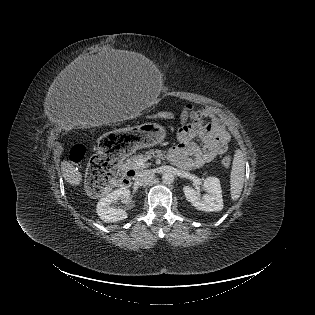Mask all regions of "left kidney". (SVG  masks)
<instances>
[{"label": "left kidney", "instance_id": "obj_1", "mask_svg": "<svg viewBox=\"0 0 315 315\" xmlns=\"http://www.w3.org/2000/svg\"><path fill=\"white\" fill-rule=\"evenodd\" d=\"M204 190L208 193L203 197L189 186L183 187L186 199L196 209L206 212H217L223 209L222 190L220 181L216 177H208L203 183Z\"/></svg>", "mask_w": 315, "mask_h": 315}]
</instances>
